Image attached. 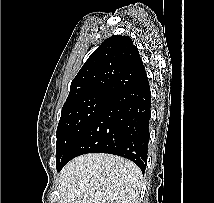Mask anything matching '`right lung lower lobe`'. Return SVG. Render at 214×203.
<instances>
[{
    "label": "right lung lower lobe",
    "mask_w": 214,
    "mask_h": 203,
    "mask_svg": "<svg viewBox=\"0 0 214 203\" xmlns=\"http://www.w3.org/2000/svg\"><path fill=\"white\" fill-rule=\"evenodd\" d=\"M151 92L148 79L113 95L74 144L60 171L71 159L87 153L127 158L144 173L149 142Z\"/></svg>",
    "instance_id": "1"
}]
</instances>
